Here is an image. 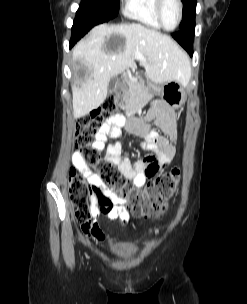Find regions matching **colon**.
<instances>
[{
	"label": "colon",
	"instance_id": "colon-1",
	"mask_svg": "<svg viewBox=\"0 0 247 304\" xmlns=\"http://www.w3.org/2000/svg\"><path fill=\"white\" fill-rule=\"evenodd\" d=\"M121 97V92L109 95L99 108L78 121L77 143L86 163L95 170L111 192L125 199L126 209L131 214L140 216L154 212V216L160 217L165 209V199L177 189L180 183V171L173 169L156 176L143 190H136L127 183L115 165L104 162V157L93 146V138L101 126L107 119L116 115ZM150 163L152 168L156 167L154 158L150 159ZM69 192L77 220L81 225L90 223L94 210L93 189L90 183L75 170L70 172Z\"/></svg>",
	"mask_w": 247,
	"mask_h": 304
}]
</instances>
